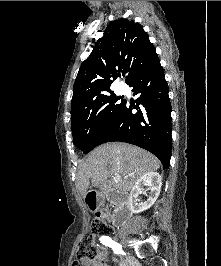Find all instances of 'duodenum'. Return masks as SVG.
Instances as JSON below:
<instances>
[{
	"label": "duodenum",
	"mask_w": 221,
	"mask_h": 266,
	"mask_svg": "<svg viewBox=\"0 0 221 266\" xmlns=\"http://www.w3.org/2000/svg\"><path fill=\"white\" fill-rule=\"evenodd\" d=\"M109 198L117 205L112 216V222L115 226L124 225L132 216L131 198L128 195L111 191ZM104 194H98V189H89L86 191V206H101V199ZM91 213H98V208H91Z\"/></svg>",
	"instance_id": "duodenum-1"
}]
</instances>
